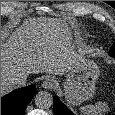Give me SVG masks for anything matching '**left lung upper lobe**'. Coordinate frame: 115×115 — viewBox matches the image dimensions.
Returning a JSON list of instances; mask_svg holds the SVG:
<instances>
[{
  "mask_svg": "<svg viewBox=\"0 0 115 115\" xmlns=\"http://www.w3.org/2000/svg\"><path fill=\"white\" fill-rule=\"evenodd\" d=\"M109 54L112 56V57H115V42L112 46V49L109 51Z\"/></svg>",
  "mask_w": 115,
  "mask_h": 115,
  "instance_id": "left-lung-upper-lobe-1",
  "label": "left lung upper lobe"
}]
</instances>
